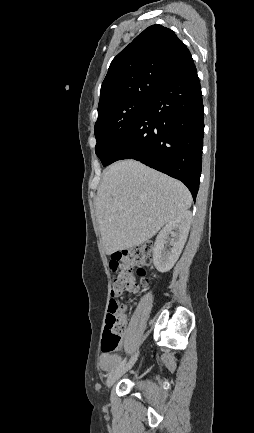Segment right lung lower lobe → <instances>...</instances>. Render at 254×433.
Returning <instances> with one entry per match:
<instances>
[{"label":"right lung lower lobe","mask_w":254,"mask_h":433,"mask_svg":"<svg viewBox=\"0 0 254 433\" xmlns=\"http://www.w3.org/2000/svg\"><path fill=\"white\" fill-rule=\"evenodd\" d=\"M204 107L193 62L166 81L115 148L109 164L135 159L199 189ZM108 164V165H109Z\"/></svg>","instance_id":"1"}]
</instances>
